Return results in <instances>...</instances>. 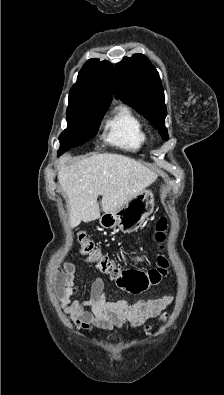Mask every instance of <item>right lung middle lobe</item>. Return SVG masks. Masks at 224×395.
<instances>
[{"mask_svg":"<svg viewBox=\"0 0 224 395\" xmlns=\"http://www.w3.org/2000/svg\"><path fill=\"white\" fill-rule=\"evenodd\" d=\"M107 108L86 97L69 94L66 112L68 127L59 137L60 149L67 151L93 138Z\"/></svg>","mask_w":224,"mask_h":395,"instance_id":"right-lung-middle-lobe-1","label":"right lung middle lobe"}]
</instances>
